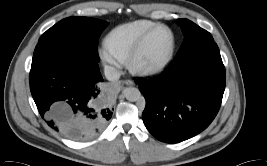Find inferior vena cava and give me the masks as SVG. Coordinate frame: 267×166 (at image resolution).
<instances>
[{
  "mask_svg": "<svg viewBox=\"0 0 267 166\" xmlns=\"http://www.w3.org/2000/svg\"><path fill=\"white\" fill-rule=\"evenodd\" d=\"M104 74L107 80L116 81L120 78V71L112 66H105Z\"/></svg>",
  "mask_w": 267,
  "mask_h": 166,
  "instance_id": "1",
  "label": "inferior vena cava"
}]
</instances>
